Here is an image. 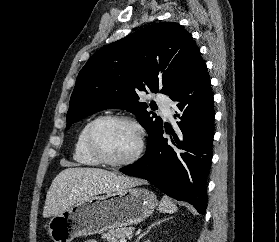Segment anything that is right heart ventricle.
Wrapping results in <instances>:
<instances>
[{
  "label": "right heart ventricle",
  "mask_w": 279,
  "mask_h": 242,
  "mask_svg": "<svg viewBox=\"0 0 279 242\" xmlns=\"http://www.w3.org/2000/svg\"><path fill=\"white\" fill-rule=\"evenodd\" d=\"M92 122L93 121L90 120L87 123H85L79 131L74 144L73 151L74 161L79 165L86 167H95L101 164V162L97 158H95L89 151L87 145V133Z\"/></svg>",
  "instance_id": "1"
}]
</instances>
